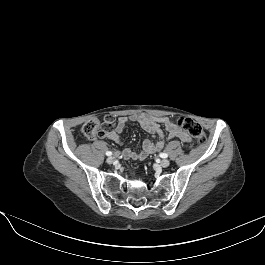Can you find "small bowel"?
<instances>
[{
  "instance_id": "obj_1",
  "label": "small bowel",
  "mask_w": 265,
  "mask_h": 265,
  "mask_svg": "<svg viewBox=\"0 0 265 265\" xmlns=\"http://www.w3.org/2000/svg\"><path fill=\"white\" fill-rule=\"evenodd\" d=\"M129 122L138 123L146 132L151 134L152 138L143 141L141 150L124 149L122 156L125 159L143 160L148 155L160 151L166 141L162 127L167 131V139L178 138L184 144H190L192 141L190 135L176 125L174 119L147 113L120 116L116 120L114 128L106 134V137L119 146L123 145L124 141L121 134Z\"/></svg>"
}]
</instances>
